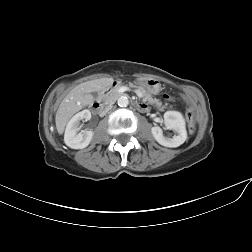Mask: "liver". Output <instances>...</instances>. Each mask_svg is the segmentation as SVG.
Wrapping results in <instances>:
<instances>
[{
    "label": "liver",
    "instance_id": "liver-1",
    "mask_svg": "<svg viewBox=\"0 0 252 252\" xmlns=\"http://www.w3.org/2000/svg\"><path fill=\"white\" fill-rule=\"evenodd\" d=\"M113 81L112 78H102L81 83L72 89L60 103L56 113L55 122L58 132L63 131L67 121L74 113L93 102L91 92L105 90L113 84Z\"/></svg>",
    "mask_w": 252,
    "mask_h": 252
}]
</instances>
